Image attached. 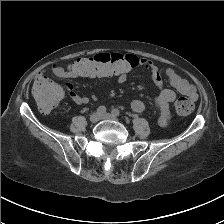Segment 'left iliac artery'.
<instances>
[{"label": "left iliac artery", "instance_id": "left-iliac-artery-1", "mask_svg": "<svg viewBox=\"0 0 224 224\" xmlns=\"http://www.w3.org/2000/svg\"><path fill=\"white\" fill-rule=\"evenodd\" d=\"M112 114H113L114 116H119V115H120V111H119L118 109H113V110H112Z\"/></svg>", "mask_w": 224, "mask_h": 224}]
</instances>
